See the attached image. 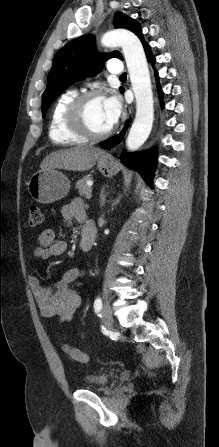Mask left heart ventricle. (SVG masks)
<instances>
[{
  "mask_svg": "<svg viewBox=\"0 0 219 447\" xmlns=\"http://www.w3.org/2000/svg\"><path fill=\"white\" fill-rule=\"evenodd\" d=\"M86 120L88 125L98 132L111 128L103 99H96L89 103L86 109Z\"/></svg>",
  "mask_w": 219,
  "mask_h": 447,
  "instance_id": "left-heart-ventricle-1",
  "label": "left heart ventricle"
}]
</instances>
